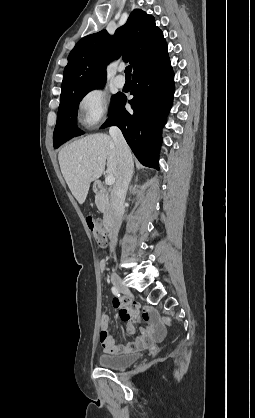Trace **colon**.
<instances>
[{
    "mask_svg": "<svg viewBox=\"0 0 255 418\" xmlns=\"http://www.w3.org/2000/svg\"><path fill=\"white\" fill-rule=\"evenodd\" d=\"M86 223H87V226H88L95 242L99 246L104 247L106 245V236H105V234H104V232L101 228L100 223L95 218H93L92 216H88L86 218ZM152 320H153V318H152ZM162 321L168 322L169 319L167 317H164V318H162ZM158 323L159 322H154L155 325L158 324Z\"/></svg>",
    "mask_w": 255,
    "mask_h": 418,
    "instance_id": "5ec220e1",
    "label": "colon"
}]
</instances>
